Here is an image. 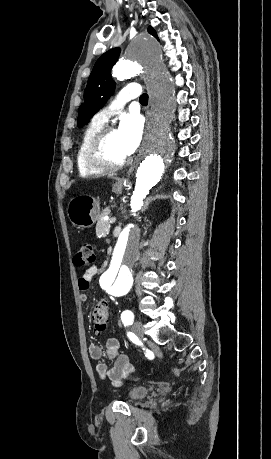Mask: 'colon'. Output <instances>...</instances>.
<instances>
[{"instance_id": "5ec220e1", "label": "colon", "mask_w": 271, "mask_h": 459, "mask_svg": "<svg viewBox=\"0 0 271 459\" xmlns=\"http://www.w3.org/2000/svg\"><path fill=\"white\" fill-rule=\"evenodd\" d=\"M95 261V253L92 244L84 243L73 258L76 266H84ZM109 304L108 300L101 298L93 308L91 321L96 333L103 332L108 324Z\"/></svg>"}]
</instances>
